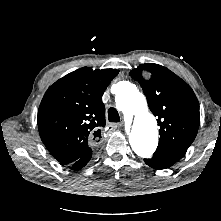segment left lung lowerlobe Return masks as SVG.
I'll list each match as a JSON object with an SVG mask.
<instances>
[{
	"mask_svg": "<svg viewBox=\"0 0 221 221\" xmlns=\"http://www.w3.org/2000/svg\"><path fill=\"white\" fill-rule=\"evenodd\" d=\"M181 158L182 156L179 154L156 150L151 159H144V161L150 167L160 170L171 167Z\"/></svg>",
	"mask_w": 221,
	"mask_h": 221,
	"instance_id": "left-lung-lower-lobe-1",
	"label": "left lung lower lobe"
}]
</instances>
